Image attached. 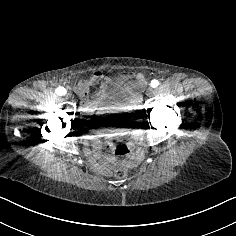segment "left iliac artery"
I'll list each match as a JSON object with an SVG mask.
<instances>
[{
	"instance_id": "left-iliac-artery-1",
	"label": "left iliac artery",
	"mask_w": 236,
	"mask_h": 236,
	"mask_svg": "<svg viewBox=\"0 0 236 236\" xmlns=\"http://www.w3.org/2000/svg\"><path fill=\"white\" fill-rule=\"evenodd\" d=\"M150 85H151V87L156 88L159 85V81L154 79V80L151 81Z\"/></svg>"
}]
</instances>
